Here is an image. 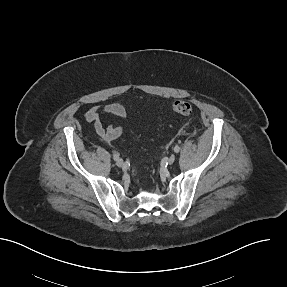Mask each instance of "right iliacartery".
Returning a JSON list of instances; mask_svg holds the SVG:
<instances>
[{
  "label": "right iliac artery",
  "mask_w": 287,
  "mask_h": 287,
  "mask_svg": "<svg viewBox=\"0 0 287 287\" xmlns=\"http://www.w3.org/2000/svg\"><path fill=\"white\" fill-rule=\"evenodd\" d=\"M113 159H114V160H118V159H119V155H118L117 153H114V154H113Z\"/></svg>",
  "instance_id": "right-iliac-artery-1"
}]
</instances>
